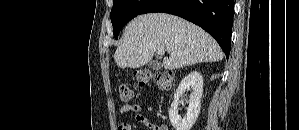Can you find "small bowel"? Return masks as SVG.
I'll return each mask as SVG.
<instances>
[{
    "label": "small bowel",
    "mask_w": 299,
    "mask_h": 130,
    "mask_svg": "<svg viewBox=\"0 0 299 130\" xmlns=\"http://www.w3.org/2000/svg\"><path fill=\"white\" fill-rule=\"evenodd\" d=\"M120 114H126V113H132L134 116V119L136 122L150 128L151 130H158L157 128H160L161 130H166L165 127H159L151 123L142 113L139 105H130L126 104L122 106L119 110ZM117 130H131V126L128 123H121L119 124Z\"/></svg>",
    "instance_id": "small-bowel-1"
}]
</instances>
